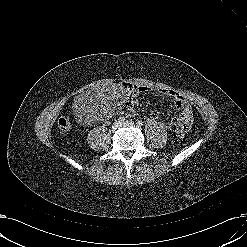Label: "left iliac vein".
I'll return each instance as SVG.
<instances>
[{
    "label": "left iliac vein",
    "mask_w": 247,
    "mask_h": 247,
    "mask_svg": "<svg viewBox=\"0 0 247 247\" xmlns=\"http://www.w3.org/2000/svg\"><path fill=\"white\" fill-rule=\"evenodd\" d=\"M134 123L132 121H126L123 123V126H133Z\"/></svg>",
    "instance_id": "1"
}]
</instances>
